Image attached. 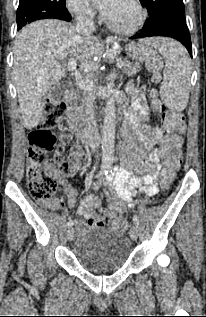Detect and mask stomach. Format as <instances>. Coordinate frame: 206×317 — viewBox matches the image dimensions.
<instances>
[{"mask_svg":"<svg viewBox=\"0 0 206 317\" xmlns=\"http://www.w3.org/2000/svg\"><path fill=\"white\" fill-rule=\"evenodd\" d=\"M129 57L132 58L131 61L137 62V66L140 65V62L148 61L154 55L153 50L144 45V44H137V43H129L125 47ZM88 65H93V60H88Z\"/></svg>","mask_w":206,"mask_h":317,"instance_id":"stomach-1","label":"stomach"}]
</instances>
